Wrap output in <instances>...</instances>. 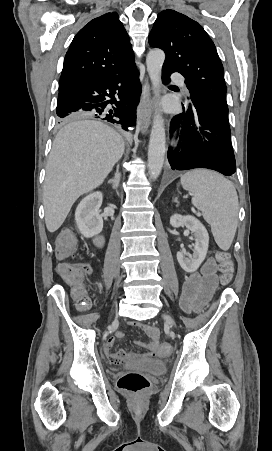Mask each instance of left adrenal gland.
Masks as SVG:
<instances>
[{
	"label": "left adrenal gland",
	"mask_w": 272,
	"mask_h": 451,
	"mask_svg": "<svg viewBox=\"0 0 272 451\" xmlns=\"http://www.w3.org/2000/svg\"><path fill=\"white\" fill-rule=\"evenodd\" d=\"M173 202H178L177 198H174Z\"/></svg>",
	"instance_id": "a2214340"
}]
</instances>
